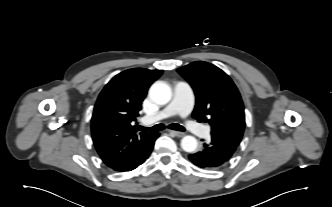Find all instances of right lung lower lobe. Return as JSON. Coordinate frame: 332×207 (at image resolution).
Returning a JSON list of instances; mask_svg holds the SVG:
<instances>
[{"label": "right lung lower lobe", "instance_id": "right-lung-lower-lobe-1", "mask_svg": "<svg viewBox=\"0 0 332 207\" xmlns=\"http://www.w3.org/2000/svg\"><path fill=\"white\" fill-rule=\"evenodd\" d=\"M159 136L158 133H153L152 137L148 141V144L145 148V150L135 159H133L131 162L121 165V166H114L110 167L115 171L124 172V171H131L137 168L139 165H141L151 154V151L153 149V145L157 137Z\"/></svg>", "mask_w": 332, "mask_h": 207}]
</instances>
